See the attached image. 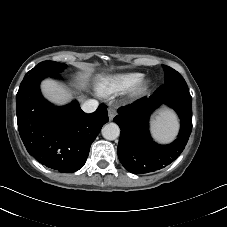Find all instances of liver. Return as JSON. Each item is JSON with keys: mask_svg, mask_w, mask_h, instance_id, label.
Returning a JSON list of instances; mask_svg holds the SVG:
<instances>
[{"mask_svg": "<svg viewBox=\"0 0 227 227\" xmlns=\"http://www.w3.org/2000/svg\"><path fill=\"white\" fill-rule=\"evenodd\" d=\"M87 80L88 75H83L79 78L83 88L86 86ZM41 89L44 97L57 105L66 104L72 97V93L67 88L51 79L44 80L41 84Z\"/></svg>", "mask_w": 227, "mask_h": 227, "instance_id": "obj_1", "label": "liver"}]
</instances>
